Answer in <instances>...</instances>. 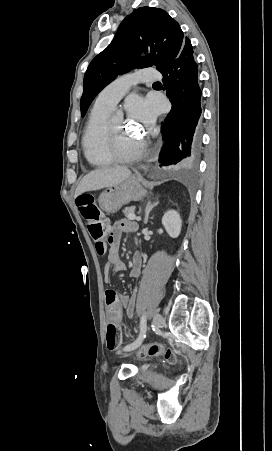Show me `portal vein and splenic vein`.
<instances>
[{
	"instance_id": "18ae733b",
	"label": "portal vein and splenic vein",
	"mask_w": 272,
	"mask_h": 451,
	"mask_svg": "<svg viewBox=\"0 0 272 451\" xmlns=\"http://www.w3.org/2000/svg\"><path fill=\"white\" fill-rule=\"evenodd\" d=\"M135 218V214H129V220H135ZM138 220H140V218H138Z\"/></svg>"
}]
</instances>
